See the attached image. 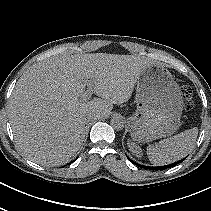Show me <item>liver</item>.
<instances>
[{
  "instance_id": "1",
  "label": "liver",
  "mask_w": 211,
  "mask_h": 211,
  "mask_svg": "<svg viewBox=\"0 0 211 211\" xmlns=\"http://www.w3.org/2000/svg\"><path fill=\"white\" fill-rule=\"evenodd\" d=\"M149 64L132 55L93 53L52 57L32 66L10 99L15 143L35 163H67L85 139V117H107L113 104L128 101ZM87 82L99 98L81 99Z\"/></svg>"
}]
</instances>
